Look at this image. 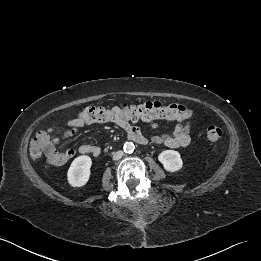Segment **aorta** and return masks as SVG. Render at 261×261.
Returning a JSON list of instances; mask_svg holds the SVG:
<instances>
[{
  "mask_svg": "<svg viewBox=\"0 0 261 261\" xmlns=\"http://www.w3.org/2000/svg\"><path fill=\"white\" fill-rule=\"evenodd\" d=\"M123 149L125 153H133L135 149V145L132 142H126L124 144Z\"/></svg>",
  "mask_w": 261,
  "mask_h": 261,
  "instance_id": "1",
  "label": "aorta"
}]
</instances>
